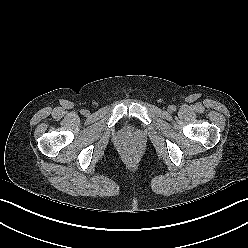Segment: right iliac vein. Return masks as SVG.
I'll return each instance as SVG.
<instances>
[{
	"label": "right iliac vein",
	"mask_w": 248,
	"mask_h": 248,
	"mask_svg": "<svg viewBox=\"0 0 248 248\" xmlns=\"http://www.w3.org/2000/svg\"><path fill=\"white\" fill-rule=\"evenodd\" d=\"M88 113V111L85 110V114Z\"/></svg>",
	"instance_id": "1"
}]
</instances>
